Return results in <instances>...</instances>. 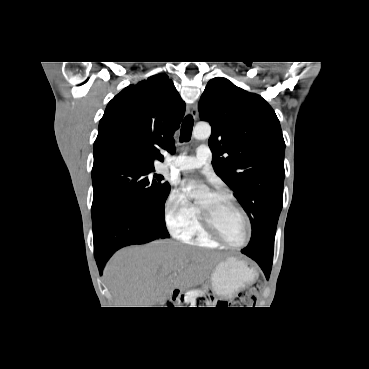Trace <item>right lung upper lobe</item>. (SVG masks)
Returning a JSON list of instances; mask_svg holds the SVG:
<instances>
[{
	"label": "right lung upper lobe",
	"mask_w": 369,
	"mask_h": 369,
	"mask_svg": "<svg viewBox=\"0 0 369 369\" xmlns=\"http://www.w3.org/2000/svg\"><path fill=\"white\" fill-rule=\"evenodd\" d=\"M185 103L166 74L132 84L107 105L94 142V164L130 163L154 168L160 149L175 151L173 134Z\"/></svg>",
	"instance_id": "1"
}]
</instances>
